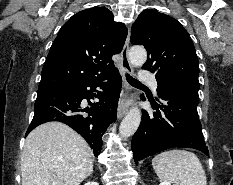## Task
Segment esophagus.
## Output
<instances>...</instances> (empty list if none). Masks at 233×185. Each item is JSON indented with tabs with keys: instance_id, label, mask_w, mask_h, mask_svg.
Instances as JSON below:
<instances>
[{
	"instance_id": "1",
	"label": "esophagus",
	"mask_w": 233,
	"mask_h": 185,
	"mask_svg": "<svg viewBox=\"0 0 233 185\" xmlns=\"http://www.w3.org/2000/svg\"><path fill=\"white\" fill-rule=\"evenodd\" d=\"M129 43H130V32L128 31L126 42L121 52V73L123 75L133 73V67L128 58ZM129 89H130L129 85L126 83V81H124L123 95L119 102L118 110H117L118 119H121L128 112L129 106L126 101V97Z\"/></svg>"
}]
</instances>
